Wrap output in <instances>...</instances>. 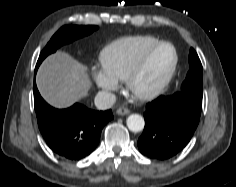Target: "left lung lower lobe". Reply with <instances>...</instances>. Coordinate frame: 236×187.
<instances>
[{"label": "left lung lower lobe", "mask_w": 236, "mask_h": 187, "mask_svg": "<svg viewBox=\"0 0 236 187\" xmlns=\"http://www.w3.org/2000/svg\"><path fill=\"white\" fill-rule=\"evenodd\" d=\"M146 109L138 148L151 159L165 160L176 155L190 141L200 120L201 102L175 93L160 96L148 103Z\"/></svg>", "instance_id": "left-lung-lower-lobe-1"}]
</instances>
